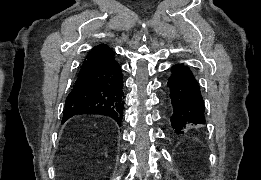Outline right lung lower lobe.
I'll use <instances>...</instances> for the list:
<instances>
[{"label":"right lung lower lobe","instance_id":"right-lung-lower-lobe-1","mask_svg":"<svg viewBox=\"0 0 261 180\" xmlns=\"http://www.w3.org/2000/svg\"><path fill=\"white\" fill-rule=\"evenodd\" d=\"M124 106L120 65L113 61L78 73L68 94L62 122L75 115L98 114L113 118L121 126Z\"/></svg>","mask_w":261,"mask_h":180}]
</instances>
